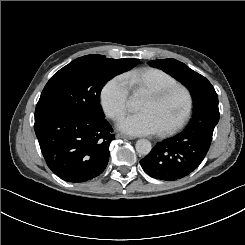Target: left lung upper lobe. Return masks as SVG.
<instances>
[{"mask_svg":"<svg viewBox=\"0 0 245 245\" xmlns=\"http://www.w3.org/2000/svg\"><path fill=\"white\" fill-rule=\"evenodd\" d=\"M148 64L162 69L183 83L191 91L193 98L200 95L206 87L211 85L205 77L175 59L154 60L149 61Z\"/></svg>","mask_w":245,"mask_h":245,"instance_id":"left-lung-upper-lobe-1","label":"left lung upper lobe"}]
</instances>
